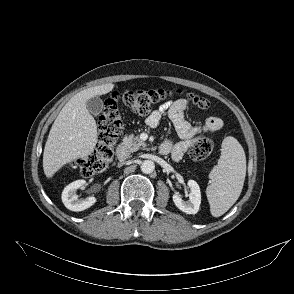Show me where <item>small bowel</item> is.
<instances>
[{"label":"small bowel","mask_w":294,"mask_h":294,"mask_svg":"<svg viewBox=\"0 0 294 294\" xmlns=\"http://www.w3.org/2000/svg\"><path fill=\"white\" fill-rule=\"evenodd\" d=\"M187 106L188 102L185 99L166 102L146 119L147 125L152 128L157 127L164 116H168L171 120L181 140L178 142L166 140L163 143L169 147L166 154L171 153L174 161H180L183 158L195 138L202 137L206 133L218 131L223 127V121L214 116L208 117L202 124L191 125L184 116Z\"/></svg>","instance_id":"small-bowel-1"}]
</instances>
